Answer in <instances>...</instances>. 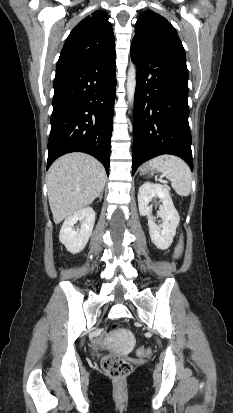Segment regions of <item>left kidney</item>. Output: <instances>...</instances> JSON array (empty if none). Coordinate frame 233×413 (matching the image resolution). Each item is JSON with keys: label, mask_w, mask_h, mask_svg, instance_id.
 I'll return each mask as SVG.
<instances>
[{"label": "left kidney", "mask_w": 233, "mask_h": 413, "mask_svg": "<svg viewBox=\"0 0 233 413\" xmlns=\"http://www.w3.org/2000/svg\"><path fill=\"white\" fill-rule=\"evenodd\" d=\"M159 198L162 203L157 216L162 223L157 225L152 216L149 203L153 198ZM138 206L142 216L148 217V226L151 241L160 250H166L173 242L180 217L174 207L169 191L161 184L144 183L138 191Z\"/></svg>", "instance_id": "5707ae66"}]
</instances>
